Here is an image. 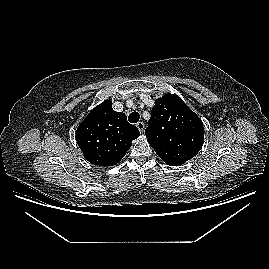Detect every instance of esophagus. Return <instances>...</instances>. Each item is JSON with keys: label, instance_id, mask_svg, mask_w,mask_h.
I'll return each mask as SVG.
<instances>
[{"label": "esophagus", "instance_id": "esophagus-1", "mask_svg": "<svg viewBox=\"0 0 269 269\" xmlns=\"http://www.w3.org/2000/svg\"><path fill=\"white\" fill-rule=\"evenodd\" d=\"M136 126H137L138 130H139L141 133L144 132L145 125H144L143 122H138V123L136 124Z\"/></svg>", "mask_w": 269, "mask_h": 269}]
</instances>
